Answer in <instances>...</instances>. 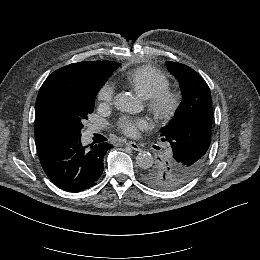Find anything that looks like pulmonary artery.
<instances>
[{
	"instance_id": "pulmonary-artery-1",
	"label": "pulmonary artery",
	"mask_w": 260,
	"mask_h": 260,
	"mask_svg": "<svg viewBox=\"0 0 260 260\" xmlns=\"http://www.w3.org/2000/svg\"><path fill=\"white\" fill-rule=\"evenodd\" d=\"M99 128L95 125H89L86 130V136L88 139H90L94 133L98 132Z\"/></svg>"
}]
</instances>
